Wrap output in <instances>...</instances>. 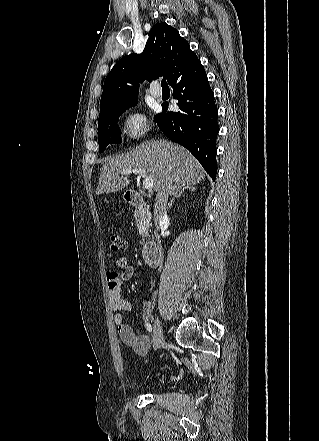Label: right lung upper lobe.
<instances>
[{
    "label": "right lung upper lobe",
    "instance_id": "right-lung-upper-lobe-1",
    "mask_svg": "<svg viewBox=\"0 0 319 441\" xmlns=\"http://www.w3.org/2000/svg\"><path fill=\"white\" fill-rule=\"evenodd\" d=\"M197 61L176 29L165 22L155 24L143 53L127 55L113 66L104 82L100 110L136 102L139 83L163 77L170 84Z\"/></svg>",
    "mask_w": 319,
    "mask_h": 441
}]
</instances>
